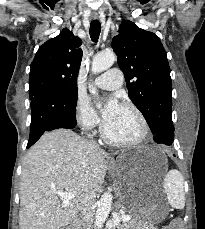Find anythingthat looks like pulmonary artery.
<instances>
[{
    "label": "pulmonary artery",
    "instance_id": "1",
    "mask_svg": "<svg viewBox=\"0 0 205 229\" xmlns=\"http://www.w3.org/2000/svg\"><path fill=\"white\" fill-rule=\"evenodd\" d=\"M122 80V71L118 68H112L99 75L95 79V84L102 89L113 90L121 86Z\"/></svg>",
    "mask_w": 205,
    "mask_h": 229
}]
</instances>
